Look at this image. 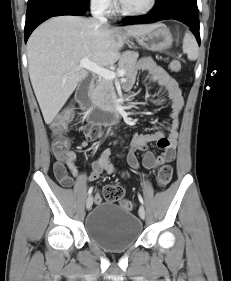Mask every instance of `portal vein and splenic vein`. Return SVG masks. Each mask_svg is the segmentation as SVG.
<instances>
[{"label":"portal vein and splenic vein","mask_w":231,"mask_h":281,"mask_svg":"<svg viewBox=\"0 0 231 281\" xmlns=\"http://www.w3.org/2000/svg\"><path fill=\"white\" fill-rule=\"evenodd\" d=\"M79 67L90 70L108 80H113L116 77H123L126 73L125 70H123V69H121L117 72L110 71L109 69L101 67V66L97 65L96 63L90 61L88 58H83L80 61Z\"/></svg>","instance_id":"portal-vein-and-splenic-vein-1"}]
</instances>
